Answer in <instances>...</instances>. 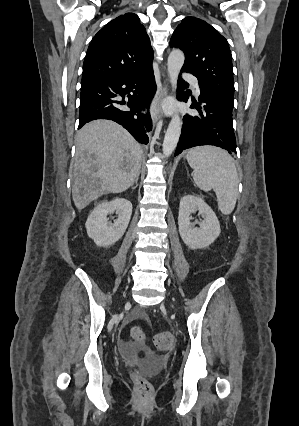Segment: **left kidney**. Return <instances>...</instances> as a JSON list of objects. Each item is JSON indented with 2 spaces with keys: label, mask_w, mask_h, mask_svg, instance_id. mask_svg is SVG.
Wrapping results in <instances>:
<instances>
[{
  "label": "left kidney",
  "mask_w": 299,
  "mask_h": 426,
  "mask_svg": "<svg viewBox=\"0 0 299 426\" xmlns=\"http://www.w3.org/2000/svg\"><path fill=\"white\" fill-rule=\"evenodd\" d=\"M198 211L203 220L199 227L191 222L192 214ZM179 233L190 249H202L212 244L221 229L218 218L211 207L199 196L186 195L181 198L178 214Z\"/></svg>",
  "instance_id": "obj_1"
}]
</instances>
